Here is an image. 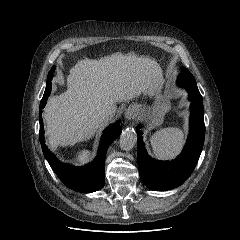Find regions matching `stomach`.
Masks as SVG:
<instances>
[{"label":"stomach","instance_id":"obj_1","mask_svg":"<svg viewBox=\"0 0 240 240\" xmlns=\"http://www.w3.org/2000/svg\"><path fill=\"white\" fill-rule=\"evenodd\" d=\"M155 100L151 106H141V114L145 116L150 125H160L165 114L170 110V100L161 93V84L155 88L153 95Z\"/></svg>","mask_w":240,"mask_h":240}]
</instances>
